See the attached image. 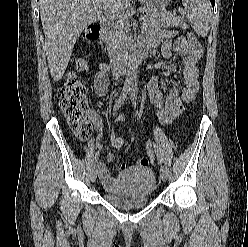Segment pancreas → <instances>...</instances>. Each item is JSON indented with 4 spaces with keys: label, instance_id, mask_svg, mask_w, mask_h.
I'll return each instance as SVG.
<instances>
[{
    "label": "pancreas",
    "instance_id": "1",
    "mask_svg": "<svg viewBox=\"0 0 248 247\" xmlns=\"http://www.w3.org/2000/svg\"><path fill=\"white\" fill-rule=\"evenodd\" d=\"M143 12L145 15L142 16V21L145 27L160 29L179 26L184 29L188 28V25L181 17L173 15L165 17L161 13L150 9H143ZM129 32L130 23L127 17L115 15L110 18L109 30L104 37L106 49L110 57L120 55L129 48L131 41Z\"/></svg>",
    "mask_w": 248,
    "mask_h": 247
}]
</instances>
